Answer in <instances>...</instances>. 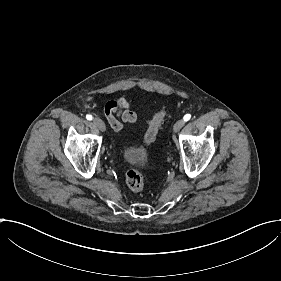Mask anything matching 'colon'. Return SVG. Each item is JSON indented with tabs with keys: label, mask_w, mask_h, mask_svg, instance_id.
I'll use <instances>...</instances> for the list:
<instances>
[{
	"label": "colon",
	"mask_w": 281,
	"mask_h": 281,
	"mask_svg": "<svg viewBox=\"0 0 281 281\" xmlns=\"http://www.w3.org/2000/svg\"><path fill=\"white\" fill-rule=\"evenodd\" d=\"M169 106L161 104L151 116L148 127L142 136L141 144L145 147L153 145L160 134L161 128L169 117ZM145 175L143 174V164L135 162L124 175V183L134 192H140L145 186Z\"/></svg>",
	"instance_id": "1"
}]
</instances>
